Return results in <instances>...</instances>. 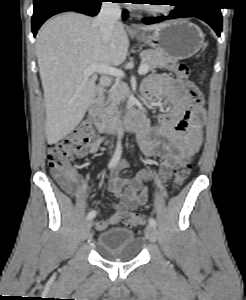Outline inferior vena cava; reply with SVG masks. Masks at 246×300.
<instances>
[{
  "instance_id": "1",
  "label": "inferior vena cava",
  "mask_w": 246,
  "mask_h": 300,
  "mask_svg": "<svg viewBox=\"0 0 246 300\" xmlns=\"http://www.w3.org/2000/svg\"><path fill=\"white\" fill-rule=\"evenodd\" d=\"M121 17V9L117 2H103L101 10L94 19V24L99 26L103 42L109 43L112 37L113 29ZM104 86L109 85L110 80L106 77L101 79Z\"/></svg>"
}]
</instances>
